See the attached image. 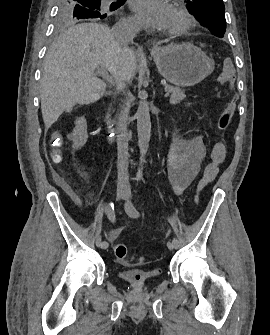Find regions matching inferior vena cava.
Segmentation results:
<instances>
[{
  "instance_id": "602c4592",
  "label": "inferior vena cava",
  "mask_w": 270,
  "mask_h": 335,
  "mask_svg": "<svg viewBox=\"0 0 270 335\" xmlns=\"http://www.w3.org/2000/svg\"><path fill=\"white\" fill-rule=\"evenodd\" d=\"M139 28L136 26L135 22L132 20H119L115 26L112 28V34L119 44V46H127L130 42H133L136 34H138ZM116 80V90L117 92H123V94H128V82L119 74L114 76ZM127 114H124L120 122L117 124V150H118V185H129V175H128V130H127Z\"/></svg>"
}]
</instances>
